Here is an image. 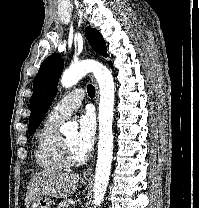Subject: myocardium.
<instances>
[{
  "instance_id": "obj_1",
  "label": "myocardium",
  "mask_w": 199,
  "mask_h": 208,
  "mask_svg": "<svg viewBox=\"0 0 199 208\" xmlns=\"http://www.w3.org/2000/svg\"><path fill=\"white\" fill-rule=\"evenodd\" d=\"M62 151H63L64 160H65L67 166H80V165L84 164L87 160L86 155H84L83 157H80V158L75 157L65 138H63V140H62Z\"/></svg>"
}]
</instances>
